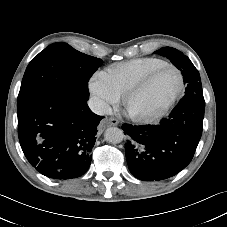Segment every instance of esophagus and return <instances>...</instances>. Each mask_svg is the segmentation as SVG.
I'll list each match as a JSON object with an SVG mask.
<instances>
[{
	"label": "esophagus",
	"instance_id": "esophagus-1",
	"mask_svg": "<svg viewBox=\"0 0 227 227\" xmlns=\"http://www.w3.org/2000/svg\"><path fill=\"white\" fill-rule=\"evenodd\" d=\"M108 123H109L110 125H112V126H116V125L119 124V121H118L116 118L111 117V118L108 119Z\"/></svg>",
	"mask_w": 227,
	"mask_h": 227
}]
</instances>
